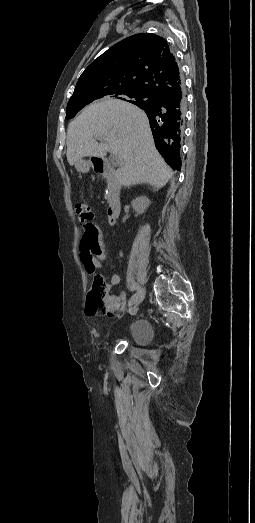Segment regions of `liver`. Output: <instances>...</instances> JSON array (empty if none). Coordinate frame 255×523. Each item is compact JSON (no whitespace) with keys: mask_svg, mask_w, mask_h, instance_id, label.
Instances as JSON below:
<instances>
[{"mask_svg":"<svg viewBox=\"0 0 255 523\" xmlns=\"http://www.w3.org/2000/svg\"><path fill=\"white\" fill-rule=\"evenodd\" d=\"M66 144L70 166L85 156L105 158L107 152L122 158L123 168L117 170L122 186L150 184L159 190L172 178L155 148L145 112L123 100L103 98L84 108L68 126Z\"/></svg>","mask_w":255,"mask_h":523,"instance_id":"1","label":"liver"}]
</instances>
